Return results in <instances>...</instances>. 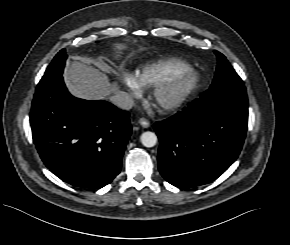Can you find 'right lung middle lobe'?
<instances>
[{
    "label": "right lung middle lobe",
    "instance_id": "1",
    "mask_svg": "<svg viewBox=\"0 0 290 245\" xmlns=\"http://www.w3.org/2000/svg\"><path fill=\"white\" fill-rule=\"evenodd\" d=\"M67 55L65 53V49H62L52 60L51 64L48 66L45 71L42 79L39 84H44L49 81H53L62 76V72L65 65V60Z\"/></svg>",
    "mask_w": 290,
    "mask_h": 245
}]
</instances>
